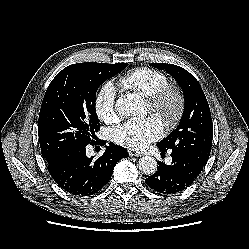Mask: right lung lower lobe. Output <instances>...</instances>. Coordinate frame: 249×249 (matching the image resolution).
I'll use <instances>...</instances> for the list:
<instances>
[{
  "instance_id": "obj_1",
  "label": "right lung lower lobe",
  "mask_w": 249,
  "mask_h": 249,
  "mask_svg": "<svg viewBox=\"0 0 249 249\" xmlns=\"http://www.w3.org/2000/svg\"><path fill=\"white\" fill-rule=\"evenodd\" d=\"M128 156L125 148L109 143L104 154L93 160V156H86L85 147L49 163L48 171L55 182L68 193L91 196L104 188L111 179L116 163Z\"/></svg>"
}]
</instances>
